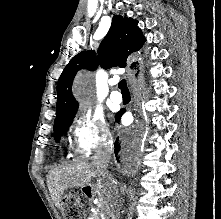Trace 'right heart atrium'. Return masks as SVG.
Segmentation results:
<instances>
[{
	"label": "right heart atrium",
	"instance_id": "obj_1",
	"mask_svg": "<svg viewBox=\"0 0 221 219\" xmlns=\"http://www.w3.org/2000/svg\"><path fill=\"white\" fill-rule=\"evenodd\" d=\"M111 138L104 115L97 110L83 107L74 119L72 141L76 150L89 155L105 145Z\"/></svg>",
	"mask_w": 221,
	"mask_h": 219
}]
</instances>
